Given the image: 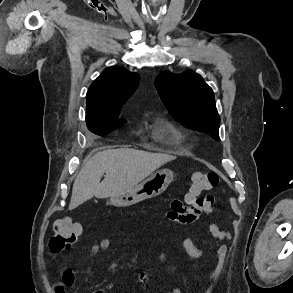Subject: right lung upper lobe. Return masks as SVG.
Segmentation results:
<instances>
[{
  "mask_svg": "<svg viewBox=\"0 0 293 293\" xmlns=\"http://www.w3.org/2000/svg\"><path fill=\"white\" fill-rule=\"evenodd\" d=\"M140 76L112 66L91 84L87 92L86 117L109 115L121 111L122 105L136 90Z\"/></svg>",
  "mask_w": 293,
  "mask_h": 293,
  "instance_id": "obj_1",
  "label": "right lung upper lobe"
}]
</instances>
